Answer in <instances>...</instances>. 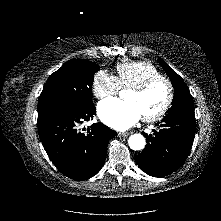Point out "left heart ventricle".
Returning <instances> with one entry per match:
<instances>
[{"mask_svg": "<svg viewBox=\"0 0 221 221\" xmlns=\"http://www.w3.org/2000/svg\"><path fill=\"white\" fill-rule=\"evenodd\" d=\"M167 94V86L164 83H158L143 94L128 91L125 99L133 102L141 116H145L156 113L165 103Z\"/></svg>", "mask_w": 221, "mask_h": 221, "instance_id": "b2bd125f", "label": "left heart ventricle"}]
</instances>
